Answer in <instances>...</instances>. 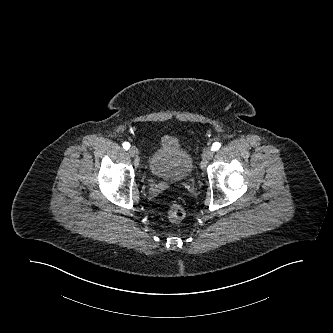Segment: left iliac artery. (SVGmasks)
Here are the masks:
<instances>
[{
	"label": "left iliac artery",
	"mask_w": 333,
	"mask_h": 333,
	"mask_svg": "<svg viewBox=\"0 0 333 333\" xmlns=\"http://www.w3.org/2000/svg\"><path fill=\"white\" fill-rule=\"evenodd\" d=\"M220 147H221V143H219V142H215V143H213V145H212V150H213V151H217Z\"/></svg>",
	"instance_id": "obj_1"
}]
</instances>
